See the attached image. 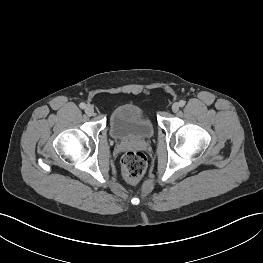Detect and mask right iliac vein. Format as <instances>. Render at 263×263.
I'll use <instances>...</instances> for the list:
<instances>
[{
    "label": "right iliac vein",
    "instance_id": "63e3f726",
    "mask_svg": "<svg viewBox=\"0 0 263 263\" xmlns=\"http://www.w3.org/2000/svg\"><path fill=\"white\" fill-rule=\"evenodd\" d=\"M85 113L88 115V116H92L94 114V108L92 105H87L85 107Z\"/></svg>",
    "mask_w": 263,
    "mask_h": 263
}]
</instances>
